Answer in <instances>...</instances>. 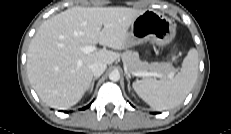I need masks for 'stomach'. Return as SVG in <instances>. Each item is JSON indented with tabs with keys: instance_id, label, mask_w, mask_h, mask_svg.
<instances>
[{
	"instance_id": "0dacf381",
	"label": "stomach",
	"mask_w": 231,
	"mask_h": 134,
	"mask_svg": "<svg viewBox=\"0 0 231 134\" xmlns=\"http://www.w3.org/2000/svg\"><path fill=\"white\" fill-rule=\"evenodd\" d=\"M176 34L173 22L155 10H145L137 16L127 36V46L151 41L159 46L170 43Z\"/></svg>"
}]
</instances>
